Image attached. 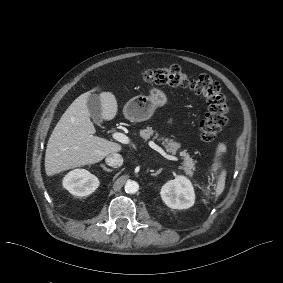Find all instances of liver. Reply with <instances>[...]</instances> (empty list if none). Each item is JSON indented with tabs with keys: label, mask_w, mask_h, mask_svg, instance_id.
<instances>
[{
	"label": "liver",
	"mask_w": 283,
	"mask_h": 283,
	"mask_svg": "<svg viewBox=\"0 0 283 283\" xmlns=\"http://www.w3.org/2000/svg\"><path fill=\"white\" fill-rule=\"evenodd\" d=\"M95 90L76 98L56 124L45 154V171L48 176L100 162L107 155L121 150L120 144L94 136L96 130L90 120L87 101ZM100 101L101 119L112 120L118 107L115 96L110 92H102Z\"/></svg>",
	"instance_id": "liver-1"
}]
</instances>
